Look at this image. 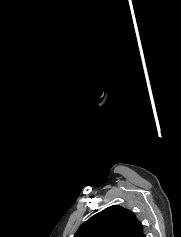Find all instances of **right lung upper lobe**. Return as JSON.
<instances>
[{
  "label": "right lung upper lobe",
  "instance_id": "right-lung-upper-lobe-1",
  "mask_svg": "<svg viewBox=\"0 0 181 237\" xmlns=\"http://www.w3.org/2000/svg\"><path fill=\"white\" fill-rule=\"evenodd\" d=\"M74 237H145L135 214L119 205L110 206L84 222Z\"/></svg>",
  "mask_w": 181,
  "mask_h": 237
}]
</instances>
